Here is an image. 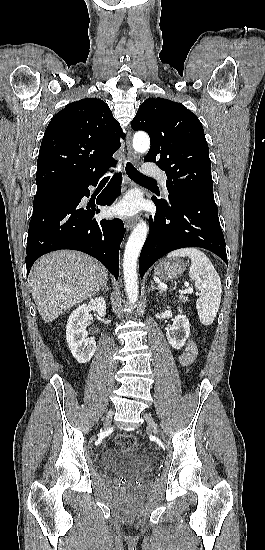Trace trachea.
<instances>
[{
	"mask_svg": "<svg viewBox=\"0 0 265 550\" xmlns=\"http://www.w3.org/2000/svg\"><path fill=\"white\" fill-rule=\"evenodd\" d=\"M126 173L134 181L146 182V183H156L155 180H153L152 178H149V177L141 174L139 171H137V169L130 162H128L126 164ZM109 178H110L109 176L104 177L103 180H108Z\"/></svg>",
	"mask_w": 265,
	"mask_h": 550,
	"instance_id": "1",
	"label": "trachea"
}]
</instances>
